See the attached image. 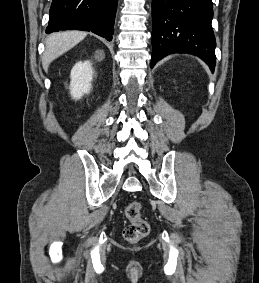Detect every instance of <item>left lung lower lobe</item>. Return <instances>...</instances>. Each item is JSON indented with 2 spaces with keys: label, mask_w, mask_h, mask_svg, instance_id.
I'll use <instances>...</instances> for the list:
<instances>
[{
  "label": "left lung lower lobe",
  "mask_w": 259,
  "mask_h": 283,
  "mask_svg": "<svg viewBox=\"0 0 259 283\" xmlns=\"http://www.w3.org/2000/svg\"><path fill=\"white\" fill-rule=\"evenodd\" d=\"M151 67L171 53H191L214 71L215 36L212 0H152Z\"/></svg>",
  "instance_id": "0a47b994"
}]
</instances>
